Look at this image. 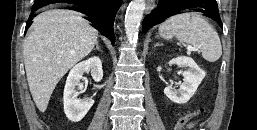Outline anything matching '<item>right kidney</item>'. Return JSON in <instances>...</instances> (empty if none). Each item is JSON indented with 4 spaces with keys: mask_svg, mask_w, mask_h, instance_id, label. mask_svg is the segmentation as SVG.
I'll use <instances>...</instances> for the list:
<instances>
[{
    "mask_svg": "<svg viewBox=\"0 0 257 130\" xmlns=\"http://www.w3.org/2000/svg\"><path fill=\"white\" fill-rule=\"evenodd\" d=\"M89 71H91V76L95 82H100L102 80V62L99 57L94 56L80 62L72 68L67 77L63 94L64 112L67 118L72 122L81 121L94 104L92 98H77L79 92L76 90V86L80 90L83 88L80 80L82 79L84 72Z\"/></svg>",
    "mask_w": 257,
    "mask_h": 130,
    "instance_id": "right-kidney-1",
    "label": "right kidney"
}]
</instances>
